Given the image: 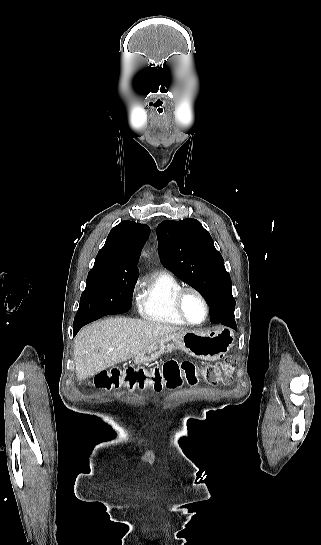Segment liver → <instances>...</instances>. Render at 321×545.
<instances>
[{"label":"liver","instance_id":"6515ba94","mask_svg":"<svg viewBox=\"0 0 321 545\" xmlns=\"http://www.w3.org/2000/svg\"><path fill=\"white\" fill-rule=\"evenodd\" d=\"M171 333L185 329L144 319H104L79 331L74 339L73 359L79 381L136 357L140 351ZM113 349V351H110ZM99 351V353H98Z\"/></svg>","mask_w":321,"mask_h":545}]
</instances>
